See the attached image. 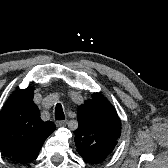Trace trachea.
I'll list each match as a JSON object with an SVG mask.
<instances>
[{"label": "trachea", "instance_id": "trachea-1", "mask_svg": "<svg viewBox=\"0 0 168 168\" xmlns=\"http://www.w3.org/2000/svg\"><path fill=\"white\" fill-rule=\"evenodd\" d=\"M55 118L57 120H64L65 119L62 105L59 103L56 105V108H55Z\"/></svg>", "mask_w": 168, "mask_h": 168}]
</instances>
